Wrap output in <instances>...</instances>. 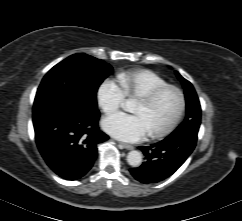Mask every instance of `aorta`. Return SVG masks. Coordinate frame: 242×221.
I'll return each instance as SVG.
<instances>
[{"instance_id": "obj_1", "label": "aorta", "mask_w": 242, "mask_h": 221, "mask_svg": "<svg viewBox=\"0 0 242 221\" xmlns=\"http://www.w3.org/2000/svg\"><path fill=\"white\" fill-rule=\"evenodd\" d=\"M131 102H127V106H130ZM127 162L132 167H139L142 163V154L139 151L132 150L127 155Z\"/></svg>"}]
</instances>
